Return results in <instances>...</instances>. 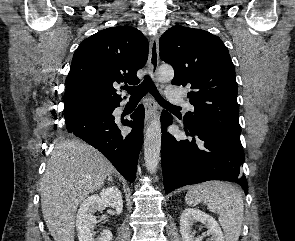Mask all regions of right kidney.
Returning <instances> with one entry per match:
<instances>
[{
	"label": "right kidney",
	"instance_id": "right-kidney-1",
	"mask_svg": "<svg viewBox=\"0 0 295 241\" xmlns=\"http://www.w3.org/2000/svg\"><path fill=\"white\" fill-rule=\"evenodd\" d=\"M109 205L115 209V213L119 215L123 210V200L120 190L111 186L103 189L100 194H94L85 199L77 213L76 229L79 241H111L112 233L108 229H104L101 236L94 238L91 229L96 220L94 213L102 211Z\"/></svg>",
	"mask_w": 295,
	"mask_h": 241
}]
</instances>
